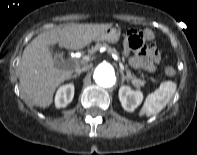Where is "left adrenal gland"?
Returning a JSON list of instances; mask_svg holds the SVG:
<instances>
[{
	"instance_id": "a2214340",
	"label": "left adrenal gland",
	"mask_w": 197,
	"mask_h": 155,
	"mask_svg": "<svg viewBox=\"0 0 197 155\" xmlns=\"http://www.w3.org/2000/svg\"><path fill=\"white\" fill-rule=\"evenodd\" d=\"M120 73H121V84H123V82L125 81V80H127L128 81V79H127V77L124 75V72L120 69Z\"/></svg>"
}]
</instances>
